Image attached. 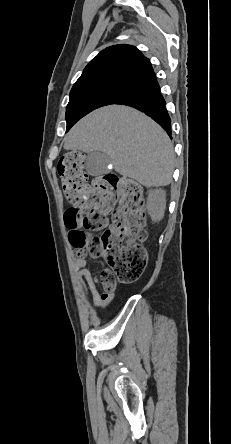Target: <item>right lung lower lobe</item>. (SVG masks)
Instances as JSON below:
<instances>
[{"instance_id":"obj_1","label":"right lung lower lobe","mask_w":231,"mask_h":444,"mask_svg":"<svg viewBox=\"0 0 231 444\" xmlns=\"http://www.w3.org/2000/svg\"><path fill=\"white\" fill-rule=\"evenodd\" d=\"M113 104L128 105L144 112L155 120L171 137V120L156 79L130 90Z\"/></svg>"}]
</instances>
